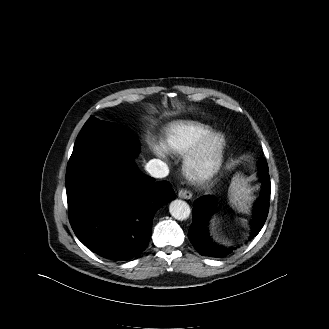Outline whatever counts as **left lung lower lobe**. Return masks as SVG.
<instances>
[{"instance_id":"left-lung-lower-lobe-1","label":"left lung lower lobe","mask_w":329,"mask_h":329,"mask_svg":"<svg viewBox=\"0 0 329 329\" xmlns=\"http://www.w3.org/2000/svg\"><path fill=\"white\" fill-rule=\"evenodd\" d=\"M259 176L263 182V189L261 196L254 206V219L251 222L252 233L250 238L260 232L268 215L271 184L266 162L261 163ZM213 205L214 202L210 196H203L195 201L188 237L199 254L221 258L231 253L234 248L219 246L209 237L208 220L212 213Z\"/></svg>"}]
</instances>
